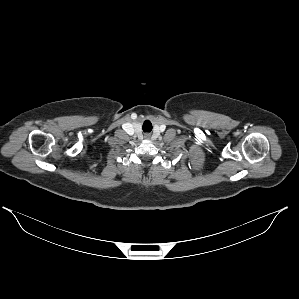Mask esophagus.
Listing matches in <instances>:
<instances>
[{
	"label": "esophagus",
	"mask_w": 299,
	"mask_h": 299,
	"mask_svg": "<svg viewBox=\"0 0 299 299\" xmlns=\"http://www.w3.org/2000/svg\"><path fill=\"white\" fill-rule=\"evenodd\" d=\"M145 138H150V134H145Z\"/></svg>",
	"instance_id": "obj_1"
}]
</instances>
